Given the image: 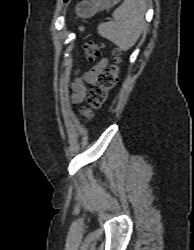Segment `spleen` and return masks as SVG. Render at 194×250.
Returning a JSON list of instances; mask_svg holds the SVG:
<instances>
[{
	"label": "spleen",
	"mask_w": 194,
	"mask_h": 250,
	"mask_svg": "<svg viewBox=\"0 0 194 250\" xmlns=\"http://www.w3.org/2000/svg\"><path fill=\"white\" fill-rule=\"evenodd\" d=\"M145 12L146 0H124L113 12V22L98 25V34L120 49L128 50L141 36Z\"/></svg>",
	"instance_id": "3e777b00"
}]
</instances>
